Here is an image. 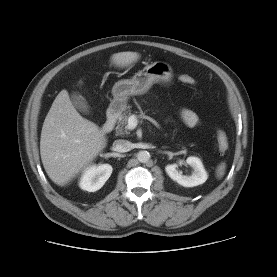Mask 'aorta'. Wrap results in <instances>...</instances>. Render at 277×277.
Masks as SVG:
<instances>
[{
    "label": "aorta",
    "instance_id": "1",
    "mask_svg": "<svg viewBox=\"0 0 277 277\" xmlns=\"http://www.w3.org/2000/svg\"><path fill=\"white\" fill-rule=\"evenodd\" d=\"M137 159L141 163H145L150 159V153L148 151H139L137 154Z\"/></svg>",
    "mask_w": 277,
    "mask_h": 277
}]
</instances>
